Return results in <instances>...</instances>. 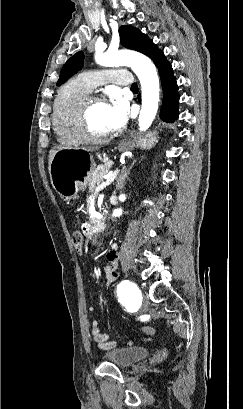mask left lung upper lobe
<instances>
[{"instance_id": "left-lung-upper-lobe-1", "label": "left lung upper lobe", "mask_w": 243, "mask_h": 409, "mask_svg": "<svg viewBox=\"0 0 243 409\" xmlns=\"http://www.w3.org/2000/svg\"><path fill=\"white\" fill-rule=\"evenodd\" d=\"M120 41L122 46L139 51L149 56L157 67L167 63L163 52L140 30L132 26H121L119 28ZM84 55L82 51L74 54L63 66L57 85L60 86L72 75L81 70L84 66Z\"/></svg>"}]
</instances>
